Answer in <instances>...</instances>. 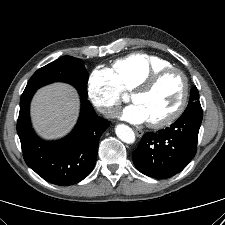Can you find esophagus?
<instances>
[{"mask_svg":"<svg viewBox=\"0 0 225 225\" xmlns=\"http://www.w3.org/2000/svg\"><path fill=\"white\" fill-rule=\"evenodd\" d=\"M134 131H135V134L137 135V137H142L144 134L143 131L140 129H134Z\"/></svg>","mask_w":225,"mask_h":225,"instance_id":"1","label":"esophagus"}]
</instances>
